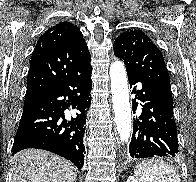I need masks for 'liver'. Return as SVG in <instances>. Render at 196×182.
<instances>
[{
    "label": "liver",
    "mask_w": 196,
    "mask_h": 182,
    "mask_svg": "<svg viewBox=\"0 0 196 182\" xmlns=\"http://www.w3.org/2000/svg\"><path fill=\"white\" fill-rule=\"evenodd\" d=\"M11 182H76L77 170L53 153L26 149L12 159Z\"/></svg>",
    "instance_id": "obj_1"
}]
</instances>
